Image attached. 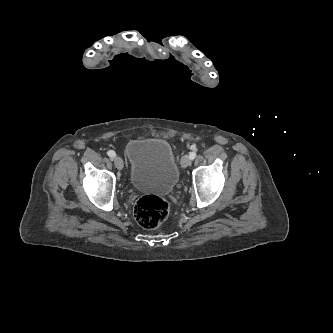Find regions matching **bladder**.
Returning <instances> with one entry per match:
<instances>
[{"label":"bladder","mask_w":333,"mask_h":333,"mask_svg":"<svg viewBox=\"0 0 333 333\" xmlns=\"http://www.w3.org/2000/svg\"><path fill=\"white\" fill-rule=\"evenodd\" d=\"M129 179L143 192L165 194L179 180V169L171 145L164 139H133L126 145Z\"/></svg>","instance_id":"1"}]
</instances>
